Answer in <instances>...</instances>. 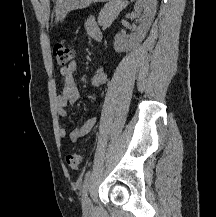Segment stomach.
<instances>
[{"mask_svg":"<svg viewBox=\"0 0 216 217\" xmlns=\"http://www.w3.org/2000/svg\"><path fill=\"white\" fill-rule=\"evenodd\" d=\"M108 0H56L55 22H62L70 11L83 9L97 2H107Z\"/></svg>","mask_w":216,"mask_h":217,"instance_id":"0dacf381","label":"stomach"}]
</instances>
